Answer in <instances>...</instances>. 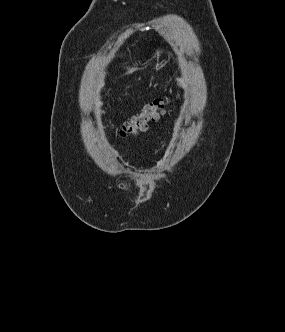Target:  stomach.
Instances as JSON below:
<instances>
[{
	"label": "stomach",
	"mask_w": 285,
	"mask_h": 332,
	"mask_svg": "<svg viewBox=\"0 0 285 332\" xmlns=\"http://www.w3.org/2000/svg\"><path fill=\"white\" fill-rule=\"evenodd\" d=\"M159 55H160V52L158 51V52H157V56H159Z\"/></svg>",
	"instance_id": "stomach-1"
}]
</instances>
